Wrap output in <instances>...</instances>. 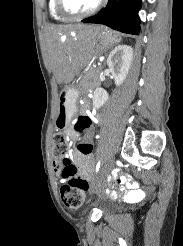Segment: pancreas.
<instances>
[{"mask_svg": "<svg viewBox=\"0 0 183 246\" xmlns=\"http://www.w3.org/2000/svg\"><path fill=\"white\" fill-rule=\"evenodd\" d=\"M97 71H98V69H93V68H91L89 73L95 74Z\"/></svg>", "mask_w": 183, "mask_h": 246, "instance_id": "cf45deb5", "label": "pancreas"}]
</instances>
